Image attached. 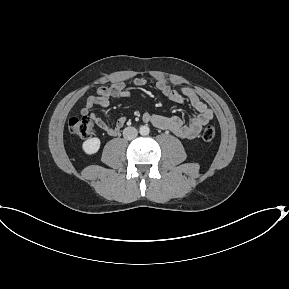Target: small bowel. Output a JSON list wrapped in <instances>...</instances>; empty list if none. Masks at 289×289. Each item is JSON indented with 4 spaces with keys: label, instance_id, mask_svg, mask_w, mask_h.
<instances>
[{
    "label": "small bowel",
    "instance_id": "small-bowel-1",
    "mask_svg": "<svg viewBox=\"0 0 289 289\" xmlns=\"http://www.w3.org/2000/svg\"><path fill=\"white\" fill-rule=\"evenodd\" d=\"M130 85L134 87H144L147 85V80L145 78H135L130 82ZM155 87L169 100L179 104L188 102L197 112V115L188 123L177 116L167 117L145 112L143 115L144 121L151 123L155 127L168 130L179 138L194 139L199 135L202 127L213 118L212 110L191 88L181 87L180 89H173L163 80L156 81ZM130 96L131 92L128 89L127 83L124 81L115 82L109 87H99L96 94L90 95L87 98L86 103L81 110V114H90L99 128L109 135L114 136L119 133L127 119L125 117H120L114 125H109L95 113H91V109L94 106L107 107L113 99Z\"/></svg>",
    "mask_w": 289,
    "mask_h": 289
}]
</instances>
